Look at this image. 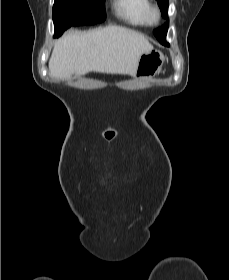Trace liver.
<instances>
[{
	"label": "liver",
	"instance_id": "liver-1",
	"mask_svg": "<svg viewBox=\"0 0 229 280\" xmlns=\"http://www.w3.org/2000/svg\"><path fill=\"white\" fill-rule=\"evenodd\" d=\"M152 49L141 33L124 27L70 31L55 42L49 72L60 80L89 72L134 76L139 58Z\"/></svg>",
	"mask_w": 229,
	"mask_h": 280
}]
</instances>
